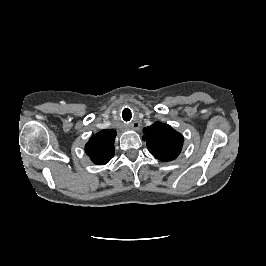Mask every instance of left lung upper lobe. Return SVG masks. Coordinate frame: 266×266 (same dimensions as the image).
<instances>
[{
	"mask_svg": "<svg viewBox=\"0 0 266 266\" xmlns=\"http://www.w3.org/2000/svg\"><path fill=\"white\" fill-rule=\"evenodd\" d=\"M143 133L149 152L158 160L172 161L180 154L183 136L168 124L156 122L144 128Z\"/></svg>",
	"mask_w": 266,
	"mask_h": 266,
	"instance_id": "1",
	"label": "left lung upper lobe"
}]
</instances>
